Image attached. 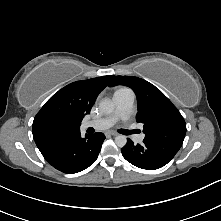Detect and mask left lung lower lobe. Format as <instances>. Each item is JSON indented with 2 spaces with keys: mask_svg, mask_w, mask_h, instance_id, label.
<instances>
[{
  "mask_svg": "<svg viewBox=\"0 0 221 221\" xmlns=\"http://www.w3.org/2000/svg\"><path fill=\"white\" fill-rule=\"evenodd\" d=\"M182 145L170 142H153L143 140V144L135 145L127 139L121 149L123 157L136 167L154 170L166 165L178 152Z\"/></svg>",
  "mask_w": 221,
  "mask_h": 221,
  "instance_id": "left-lung-lower-lobe-1",
  "label": "left lung lower lobe"
}]
</instances>
